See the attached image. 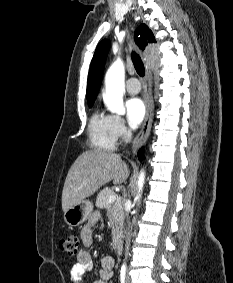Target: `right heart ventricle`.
<instances>
[{
  "mask_svg": "<svg viewBox=\"0 0 233 283\" xmlns=\"http://www.w3.org/2000/svg\"><path fill=\"white\" fill-rule=\"evenodd\" d=\"M88 136L91 146L100 151H113L117 137L114 130L113 116L96 110L88 124Z\"/></svg>",
  "mask_w": 233,
  "mask_h": 283,
  "instance_id": "obj_1",
  "label": "right heart ventricle"
}]
</instances>
